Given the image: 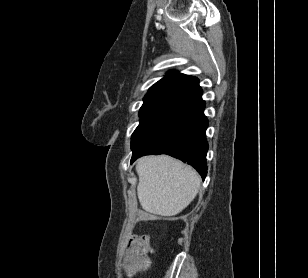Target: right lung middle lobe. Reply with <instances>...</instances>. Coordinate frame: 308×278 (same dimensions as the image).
Instances as JSON below:
<instances>
[{
  "label": "right lung middle lobe",
  "mask_w": 308,
  "mask_h": 278,
  "mask_svg": "<svg viewBox=\"0 0 308 278\" xmlns=\"http://www.w3.org/2000/svg\"><path fill=\"white\" fill-rule=\"evenodd\" d=\"M175 117V115H142L140 116V124L135 129L131 137L132 150L153 137L167 126Z\"/></svg>",
  "instance_id": "1"
}]
</instances>
